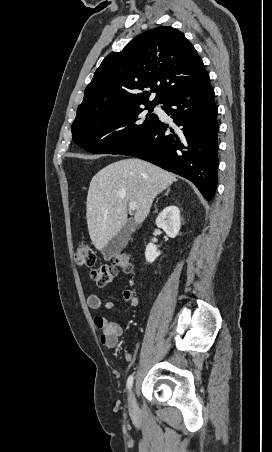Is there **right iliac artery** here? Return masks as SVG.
I'll use <instances>...</instances> for the list:
<instances>
[{"instance_id": "right-iliac-artery-1", "label": "right iliac artery", "mask_w": 272, "mask_h": 452, "mask_svg": "<svg viewBox=\"0 0 272 452\" xmlns=\"http://www.w3.org/2000/svg\"><path fill=\"white\" fill-rule=\"evenodd\" d=\"M133 379H134L133 375H130L128 380H127V388L128 389H130L132 387Z\"/></svg>"}]
</instances>
